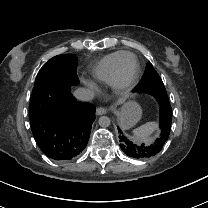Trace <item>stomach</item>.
Wrapping results in <instances>:
<instances>
[{
  "instance_id": "1",
  "label": "stomach",
  "mask_w": 208,
  "mask_h": 208,
  "mask_svg": "<svg viewBox=\"0 0 208 208\" xmlns=\"http://www.w3.org/2000/svg\"><path fill=\"white\" fill-rule=\"evenodd\" d=\"M120 126L126 130L134 126L142 116V109L135 101L124 103L120 111L117 113Z\"/></svg>"
}]
</instances>
